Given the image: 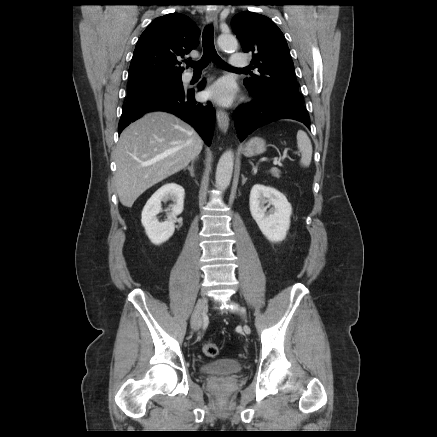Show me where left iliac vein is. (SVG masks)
I'll list each match as a JSON object with an SVG mask.
<instances>
[{
    "instance_id": "left-iliac-vein-1",
    "label": "left iliac vein",
    "mask_w": 437,
    "mask_h": 437,
    "mask_svg": "<svg viewBox=\"0 0 437 437\" xmlns=\"http://www.w3.org/2000/svg\"><path fill=\"white\" fill-rule=\"evenodd\" d=\"M233 305L236 306V308L234 309L235 312H238V313H240L242 316H245V312H244V310H243L240 306H238V305L235 304V303H233Z\"/></svg>"
}]
</instances>
